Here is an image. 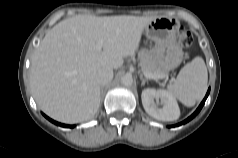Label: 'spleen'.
<instances>
[{
  "mask_svg": "<svg viewBox=\"0 0 238 158\" xmlns=\"http://www.w3.org/2000/svg\"><path fill=\"white\" fill-rule=\"evenodd\" d=\"M207 82L205 62L197 56L180 70L177 78L168 85L167 92L185 106L191 107L204 97Z\"/></svg>",
  "mask_w": 238,
  "mask_h": 158,
  "instance_id": "spleen-1",
  "label": "spleen"
}]
</instances>
